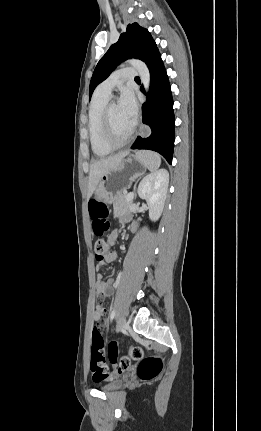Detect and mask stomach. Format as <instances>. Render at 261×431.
Wrapping results in <instances>:
<instances>
[{
    "label": "stomach",
    "mask_w": 261,
    "mask_h": 431,
    "mask_svg": "<svg viewBox=\"0 0 261 431\" xmlns=\"http://www.w3.org/2000/svg\"><path fill=\"white\" fill-rule=\"evenodd\" d=\"M146 165L138 154H128L119 166L102 179L95 189V198L99 202L110 204L122 191L127 190L131 184L146 171Z\"/></svg>",
    "instance_id": "0dacf381"
}]
</instances>
